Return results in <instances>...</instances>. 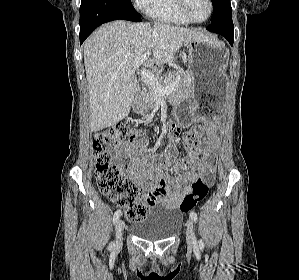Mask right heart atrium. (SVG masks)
<instances>
[{"mask_svg":"<svg viewBox=\"0 0 299 280\" xmlns=\"http://www.w3.org/2000/svg\"><path fill=\"white\" fill-rule=\"evenodd\" d=\"M151 0H132L134 6L139 10H147Z\"/></svg>","mask_w":299,"mask_h":280,"instance_id":"1","label":"right heart atrium"}]
</instances>
